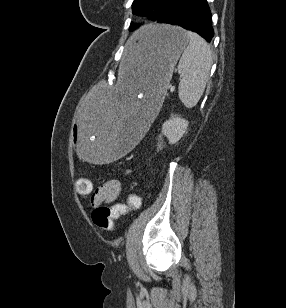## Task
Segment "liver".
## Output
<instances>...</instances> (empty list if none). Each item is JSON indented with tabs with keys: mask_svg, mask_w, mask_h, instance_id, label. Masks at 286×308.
<instances>
[{
	"mask_svg": "<svg viewBox=\"0 0 286 308\" xmlns=\"http://www.w3.org/2000/svg\"><path fill=\"white\" fill-rule=\"evenodd\" d=\"M138 35V32H136L131 38H130V40H129V42H128V46H129V49H130V56L132 57V59H133V57H134V49H133V45H132V43H133V41H134V39L136 38V36Z\"/></svg>",
	"mask_w": 286,
	"mask_h": 308,
	"instance_id": "obj_1",
	"label": "liver"
}]
</instances>
